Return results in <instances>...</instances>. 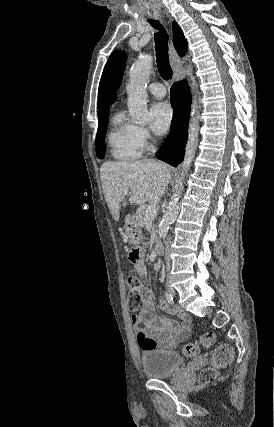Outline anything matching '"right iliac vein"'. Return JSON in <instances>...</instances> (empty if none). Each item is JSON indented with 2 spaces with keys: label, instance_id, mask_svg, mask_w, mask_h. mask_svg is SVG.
Returning <instances> with one entry per match:
<instances>
[{
  "label": "right iliac vein",
  "instance_id": "63e3f726",
  "mask_svg": "<svg viewBox=\"0 0 274 427\" xmlns=\"http://www.w3.org/2000/svg\"><path fill=\"white\" fill-rule=\"evenodd\" d=\"M170 290V292L172 293V294H174V290L173 289H169Z\"/></svg>",
  "mask_w": 274,
  "mask_h": 427
}]
</instances>
